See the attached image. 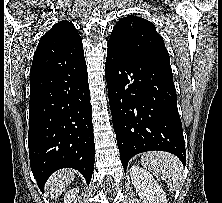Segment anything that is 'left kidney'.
<instances>
[{
    "mask_svg": "<svg viewBox=\"0 0 222 203\" xmlns=\"http://www.w3.org/2000/svg\"><path fill=\"white\" fill-rule=\"evenodd\" d=\"M130 176L143 203H167L164 190L147 170L133 165Z\"/></svg>",
    "mask_w": 222,
    "mask_h": 203,
    "instance_id": "5707ae66",
    "label": "left kidney"
}]
</instances>
